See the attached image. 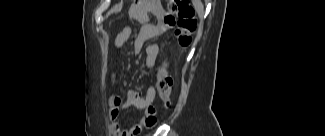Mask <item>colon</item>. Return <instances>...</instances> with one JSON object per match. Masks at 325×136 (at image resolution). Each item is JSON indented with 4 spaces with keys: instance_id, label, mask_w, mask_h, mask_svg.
<instances>
[{
    "instance_id": "5ec220e1",
    "label": "colon",
    "mask_w": 325,
    "mask_h": 136,
    "mask_svg": "<svg viewBox=\"0 0 325 136\" xmlns=\"http://www.w3.org/2000/svg\"><path fill=\"white\" fill-rule=\"evenodd\" d=\"M165 24L173 29L174 37L180 46H188L191 43V35L197 28L194 8L187 0H169ZM173 83L166 68L160 67L157 72L156 86L161 100L166 105L170 104Z\"/></svg>"
}]
</instances>
